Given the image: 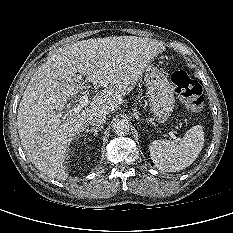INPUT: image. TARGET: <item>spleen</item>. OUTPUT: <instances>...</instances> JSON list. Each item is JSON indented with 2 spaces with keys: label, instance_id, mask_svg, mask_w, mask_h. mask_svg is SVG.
Instances as JSON below:
<instances>
[{
  "label": "spleen",
  "instance_id": "obj_1",
  "mask_svg": "<svg viewBox=\"0 0 233 233\" xmlns=\"http://www.w3.org/2000/svg\"><path fill=\"white\" fill-rule=\"evenodd\" d=\"M204 145L201 125L190 128L179 143L170 140H155L149 145L150 156L155 166L163 172H176L190 166Z\"/></svg>",
  "mask_w": 233,
  "mask_h": 233
}]
</instances>
